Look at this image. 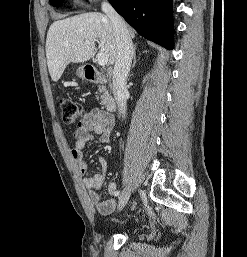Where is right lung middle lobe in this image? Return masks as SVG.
Instances as JSON below:
<instances>
[{
  "instance_id": "1",
  "label": "right lung middle lobe",
  "mask_w": 247,
  "mask_h": 257,
  "mask_svg": "<svg viewBox=\"0 0 247 257\" xmlns=\"http://www.w3.org/2000/svg\"><path fill=\"white\" fill-rule=\"evenodd\" d=\"M63 0H50V3L53 6H58Z\"/></svg>"
}]
</instances>
